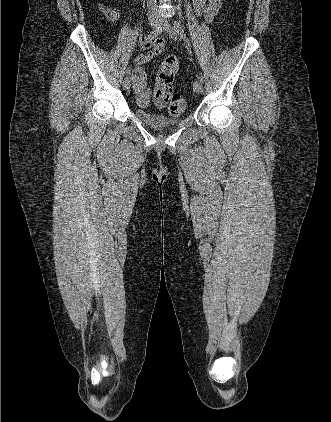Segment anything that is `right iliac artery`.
<instances>
[{
	"instance_id": "82829eb1",
	"label": "right iliac artery",
	"mask_w": 331,
	"mask_h": 422,
	"mask_svg": "<svg viewBox=\"0 0 331 422\" xmlns=\"http://www.w3.org/2000/svg\"><path fill=\"white\" fill-rule=\"evenodd\" d=\"M161 33H162V27L158 26L150 34L145 36L144 40L149 41V40L155 38L156 36L160 35ZM130 73H131V67H128L127 70H126V75H129Z\"/></svg>"
}]
</instances>
